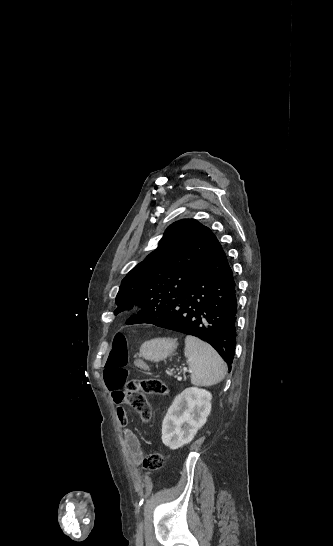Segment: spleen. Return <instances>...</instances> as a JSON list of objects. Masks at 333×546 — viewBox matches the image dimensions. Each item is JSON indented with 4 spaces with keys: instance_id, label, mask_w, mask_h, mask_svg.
<instances>
[{
    "instance_id": "1",
    "label": "spleen",
    "mask_w": 333,
    "mask_h": 546,
    "mask_svg": "<svg viewBox=\"0 0 333 546\" xmlns=\"http://www.w3.org/2000/svg\"><path fill=\"white\" fill-rule=\"evenodd\" d=\"M184 354L193 385L210 386L224 379L226 365L220 355L207 343L196 337L187 336Z\"/></svg>"
}]
</instances>
